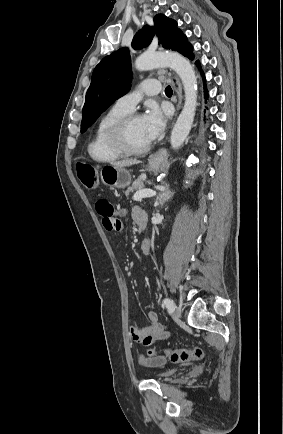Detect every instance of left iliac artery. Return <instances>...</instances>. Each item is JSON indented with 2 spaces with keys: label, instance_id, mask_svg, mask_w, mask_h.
<instances>
[{
  "label": "left iliac artery",
  "instance_id": "1",
  "mask_svg": "<svg viewBox=\"0 0 283 434\" xmlns=\"http://www.w3.org/2000/svg\"><path fill=\"white\" fill-rule=\"evenodd\" d=\"M164 305L166 306L167 310L169 311V313L173 312L175 309V303L173 302V300L169 299V298H165L163 300Z\"/></svg>",
  "mask_w": 283,
  "mask_h": 434
}]
</instances>
